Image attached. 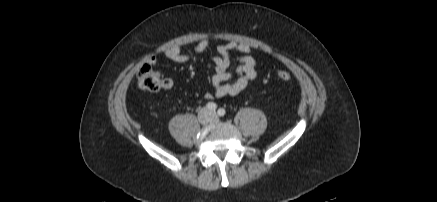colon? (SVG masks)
I'll return each instance as SVG.
<instances>
[{
	"label": "colon",
	"mask_w": 437,
	"mask_h": 202,
	"mask_svg": "<svg viewBox=\"0 0 437 202\" xmlns=\"http://www.w3.org/2000/svg\"><path fill=\"white\" fill-rule=\"evenodd\" d=\"M277 77L282 81H289L291 75L285 70L277 72ZM137 82L141 89L156 92L163 86V79L160 74L152 68L150 64H144L137 73Z\"/></svg>",
	"instance_id": "5ec220e1"
}]
</instances>
